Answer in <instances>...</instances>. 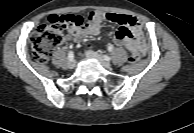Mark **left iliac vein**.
<instances>
[{
	"label": "left iliac vein",
	"mask_w": 194,
	"mask_h": 133,
	"mask_svg": "<svg viewBox=\"0 0 194 133\" xmlns=\"http://www.w3.org/2000/svg\"><path fill=\"white\" fill-rule=\"evenodd\" d=\"M86 56L96 59L100 65L108 70H112V66L110 63L105 61L99 54L93 51H86Z\"/></svg>",
	"instance_id": "4c4485c4"
}]
</instances>
